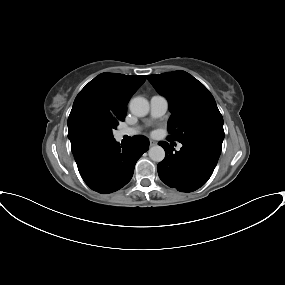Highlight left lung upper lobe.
Instances as JSON below:
<instances>
[{"label":"left lung upper lobe","mask_w":285,"mask_h":285,"mask_svg":"<svg viewBox=\"0 0 285 285\" xmlns=\"http://www.w3.org/2000/svg\"><path fill=\"white\" fill-rule=\"evenodd\" d=\"M155 89L164 95L172 115L168 140L182 144L211 143L222 147L223 118L208 89L184 71L148 75Z\"/></svg>","instance_id":"1"}]
</instances>
